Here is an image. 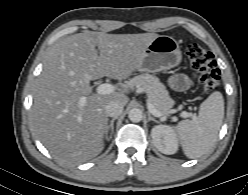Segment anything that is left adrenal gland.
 <instances>
[{"instance_id":"obj_1","label":"left adrenal gland","mask_w":248,"mask_h":195,"mask_svg":"<svg viewBox=\"0 0 248 195\" xmlns=\"http://www.w3.org/2000/svg\"><path fill=\"white\" fill-rule=\"evenodd\" d=\"M148 121H154L156 123H159V121L152 117L150 113H148Z\"/></svg>"}]
</instances>
